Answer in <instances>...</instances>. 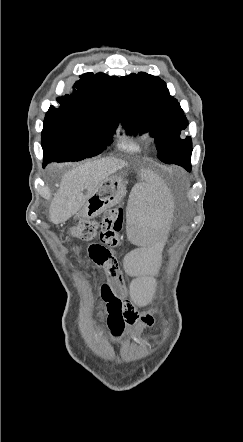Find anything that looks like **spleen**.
<instances>
[{"instance_id": "obj_1", "label": "spleen", "mask_w": 243, "mask_h": 442, "mask_svg": "<svg viewBox=\"0 0 243 442\" xmlns=\"http://www.w3.org/2000/svg\"><path fill=\"white\" fill-rule=\"evenodd\" d=\"M141 183H134L131 193H126L127 237L130 242H137L143 254H132L127 265L130 274H138V282L129 287V296H135L137 307H148L154 301L155 291L159 283L160 268L166 256L162 242H168L169 235L165 226H174L170 209L174 202L166 187L167 181L159 178L158 173L143 169L140 174Z\"/></svg>"}]
</instances>
